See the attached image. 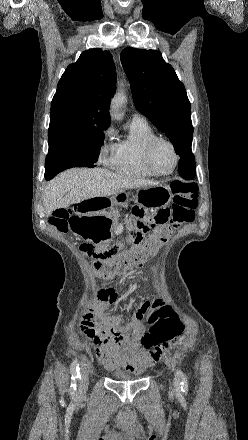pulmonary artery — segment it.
<instances>
[{"instance_id": "e3ab8cb5", "label": "pulmonary artery", "mask_w": 248, "mask_h": 440, "mask_svg": "<svg viewBox=\"0 0 248 440\" xmlns=\"http://www.w3.org/2000/svg\"><path fill=\"white\" fill-rule=\"evenodd\" d=\"M132 121H145L146 122V119H145V117H143L140 114H134L132 117Z\"/></svg>"}]
</instances>
